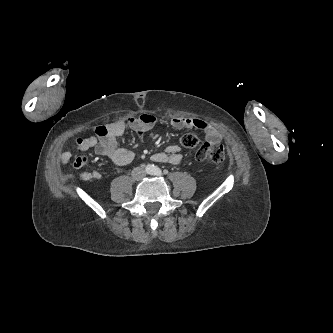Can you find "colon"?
Returning <instances> with one entry per match:
<instances>
[{"label":"colon","instance_id":"1","mask_svg":"<svg viewBox=\"0 0 333 333\" xmlns=\"http://www.w3.org/2000/svg\"><path fill=\"white\" fill-rule=\"evenodd\" d=\"M97 135H105L107 129L105 126L96 128ZM181 144L189 149L197 148L196 159L199 161H208L213 164H221L226 160V151L221 145H214L211 143L200 144V138L194 133H187L181 137Z\"/></svg>","mask_w":333,"mask_h":333}]
</instances>
